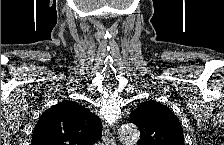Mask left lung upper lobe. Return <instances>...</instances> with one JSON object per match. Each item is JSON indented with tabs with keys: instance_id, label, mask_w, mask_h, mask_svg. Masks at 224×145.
I'll list each match as a JSON object with an SVG mask.
<instances>
[{
	"instance_id": "5c2ea615",
	"label": "left lung upper lobe",
	"mask_w": 224,
	"mask_h": 145,
	"mask_svg": "<svg viewBox=\"0 0 224 145\" xmlns=\"http://www.w3.org/2000/svg\"><path fill=\"white\" fill-rule=\"evenodd\" d=\"M140 130L138 145H184L183 131L175 114L165 105L142 102L130 116Z\"/></svg>"
}]
</instances>
